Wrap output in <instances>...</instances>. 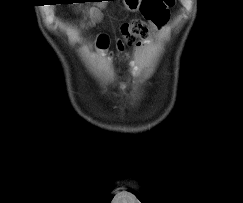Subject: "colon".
Instances as JSON below:
<instances>
[{
    "label": "colon",
    "mask_w": 243,
    "mask_h": 203,
    "mask_svg": "<svg viewBox=\"0 0 243 203\" xmlns=\"http://www.w3.org/2000/svg\"><path fill=\"white\" fill-rule=\"evenodd\" d=\"M177 0H143L140 11L143 19H135L121 26V38L117 42L118 51L125 53L128 47L137 45L139 39L147 37L150 27L161 28L168 19L169 10L176 5ZM109 41L101 36L98 46L105 51Z\"/></svg>",
    "instance_id": "5ec220e1"
}]
</instances>
